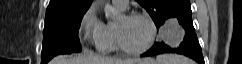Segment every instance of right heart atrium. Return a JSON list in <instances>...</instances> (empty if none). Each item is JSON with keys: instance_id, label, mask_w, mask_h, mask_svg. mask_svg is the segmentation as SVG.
Listing matches in <instances>:
<instances>
[{"instance_id": "1", "label": "right heart atrium", "mask_w": 242, "mask_h": 64, "mask_svg": "<svg viewBox=\"0 0 242 64\" xmlns=\"http://www.w3.org/2000/svg\"><path fill=\"white\" fill-rule=\"evenodd\" d=\"M79 32L84 41L94 44L106 36V26L98 18L94 6H91L82 16Z\"/></svg>"}]
</instances>
